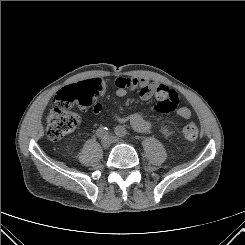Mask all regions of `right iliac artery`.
<instances>
[{
  "mask_svg": "<svg viewBox=\"0 0 245 245\" xmlns=\"http://www.w3.org/2000/svg\"><path fill=\"white\" fill-rule=\"evenodd\" d=\"M108 133L109 131L107 127H100L96 132L97 136L102 139L106 138L108 136Z\"/></svg>",
  "mask_w": 245,
  "mask_h": 245,
  "instance_id": "1",
  "label": "right iliac artery"
}]
</instances>
